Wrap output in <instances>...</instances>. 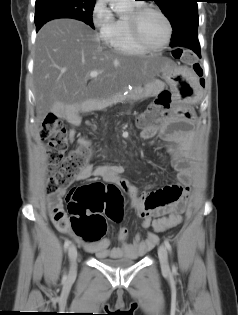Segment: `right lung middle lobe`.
<instances>
[{
  "instance_id": "dd1d6c3e",
  "label": "right lung middle lobe",
  "mask_w": 238,
  "mask_h": 315,
  "mask_svg": "<svg viewBox=\"0 0 238 315\" xmlns=\"http://www.w3.org/2000/svg\"><path fill=\"white\" fill-rule=\"evenodd\" d=\"M95 0H36V25L56 18H73L94 28L92 13Z\"/></svg>"
}]
</instances>
